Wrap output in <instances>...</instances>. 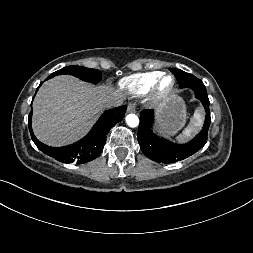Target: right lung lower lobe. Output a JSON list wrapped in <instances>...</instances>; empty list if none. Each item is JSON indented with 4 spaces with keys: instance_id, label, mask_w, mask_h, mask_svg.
<instances>
[{
    "instance_id": "1",
    "label": "right lung lower lobe",
    "mask_w": 253,
    "mask_h": 253,
    "mask_svg": "<svg viewBox=\"0 0 253 253\" xmlns=\"http://www.w3.org/2000/svg\"><path fill=\"white\" fill-rule=\"evenodd\" d=\"M49 78L52 77L49 76L47 79ZM126 109L127 107L124 105L105 111L83 139L72 145L60 148L47 146L34 136L31 127L32 112L29 114L28 125L32 140L42 152L60 162L82 164L92 161L100 155L106 142V135L116 123L123 119Z\"/></svg>"
}]
</instances>
